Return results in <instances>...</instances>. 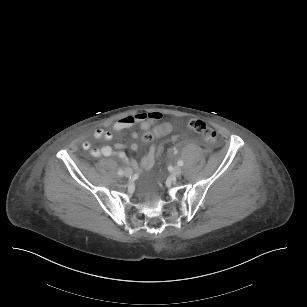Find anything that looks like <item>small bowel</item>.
<instances>
[{"label":"small bowel","instance_id":"1","mask_svg":"<svg viewBox=\"0 0 307 307\" xmlns=\"http://www.w3.org/2000/svg\"><path fill=\"white\" fill-rule=\"evenodd\" d=\"M161 119H162V114L157 111L138 112L120 118L118 121H116L113 124L111 130L96 129L93 133V136L96 139H103L109 141L113 138V135L115 133L128 129L133 125L139 124L141 130L144 132L147 128L151 126H158L160 124L159 122ZM131 137L133 139H137L138 134L136 132H132ZM82 147L85 150H89L91 155L94 157H110L116 155L120 159L124 160L126 164L131 165L135 169H137L138 167H140L141 169L151 168L155 164L156 159L159 157L164 148L161 145L158 149L155 150L149 149L148 153L141 158L138 164L135 160H129L126 157V154L123 151L125 146L122 144H116L114 147L103 146L99 149H93L92 143L89 140H86L83 142ZM130 150L136 152L138 150V145L132 144L130 146Z\"/></svg>","mask_w":307,"mask_h":307}]
</instances>
